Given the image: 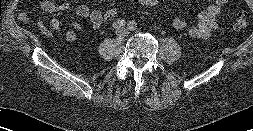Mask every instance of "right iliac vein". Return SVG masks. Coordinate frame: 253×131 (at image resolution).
I'll return each instance as SVG.
<instances>
[{
	"instance_id": "63e3f726",
	"label": "right iliac vein",
	"mask_w": 253,
	"mask_h": 131,
	"mask_svg": "<svg viewBox=\"0 0 253 131\" xmlns=\"http://www.w3.org/2000/svg\"><path fill=\"white\" fill-rule=\"evenodd\" d=\"M117 39H122L125 36V31L123 29H120L116 32Z\"/></svg>"
}]
</instances>
